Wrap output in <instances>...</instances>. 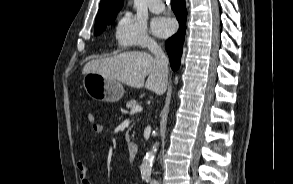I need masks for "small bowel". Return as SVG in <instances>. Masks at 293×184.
<instances>
[{"label":"small bowel","mask_w":293,"mask_h":184,"mask_svg":"<svg viewBox=\"0 0 293 184\" xmlns=\"http://www.w3.org/2000/svg\"><path fill=\"white\" fill-rule=\"evenodd\" d=\"M92 131L95 135H100L104 131V125L101 123H94L92 125ZM77 168L81 184H94L90 178V173L92 172V168L90 166L82 161H79L77 163Z\"/></svg>","instance_id":"c3829d8e"}]
</instances>
